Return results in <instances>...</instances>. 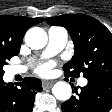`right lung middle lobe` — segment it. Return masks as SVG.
Listing matches in <instances>:
<instances>
[{
	"label": "right lung middle lobe",
	"instance_id": "obj_1",
	"mask_svg": "<svg viewBox=\"0 0 112 112\" xmlns=\"http://www.w3.org/2000/svg\"><path fill=\"white\" fill-rule=\"evenodd\" d=\"M20 45L16 46H4L0 45V80L3 79V66L7 64V60H10L13 56L19 53Z\"/></svg>",
	"mask_w": 112,
	"mask_h": 112
}]
</instances>
